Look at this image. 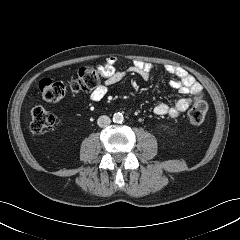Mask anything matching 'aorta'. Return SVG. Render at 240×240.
<instances>
[{
    "label": "aorta",
    "instance_id": "1",
    "mask_svg": "<svg viewBox=\"0 0 240 240\" xmlns=\"http://www.w3.org/2000/svg\"><path fill=\"white\" fill-rule=\"evenodd\" d=\"M124 117L123 114L118 112V113H114L113 115V122L115 123H122Z\"/></svg>",
    "mask_w": 240,
    "mask_h": 240
}]
</instances>
